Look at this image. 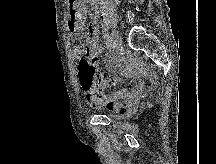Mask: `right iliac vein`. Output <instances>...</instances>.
<instances>
[{
    "label": "right iliac vein",
    "instance_id": "1",
    "mask_svg": "<svg viewBox=\"0 0 216 164\" xmlns=\"http://www.w3.org/2000/svg\"><path fill=\"white\" fill-rule=\"evenodd\" d=\"M111 40L114 44L115 47L120 48L121 46V39L118 35L117 32L113 31L112 36H111Z\"/></svg>",
    "mask_w": 216,
    "mask_h": 164
}]
</instances>
